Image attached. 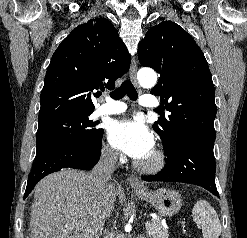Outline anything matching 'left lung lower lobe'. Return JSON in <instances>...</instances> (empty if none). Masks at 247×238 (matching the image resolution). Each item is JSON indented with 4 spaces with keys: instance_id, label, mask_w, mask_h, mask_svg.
Here are the masks:
<instances>
[{
    "instance_id": "0a47b994",
    "label": "left lung lower lobe",
    "mask_w": 247,
    "mask_h": 238,
    "mask_svg": "<svg viewBox=\"0 0 247 238\" xmlns=\"http://www.w3.org/2000/svg\"><path fill=\"white\" fill-rule=\"evenodd\" d=\"M168 160L156 175L142 176L145 181L183 182L201 186L219 196L215 185L213 146L200 140L183 137L165 149Z\"/></svg>"
}]
</instances>
